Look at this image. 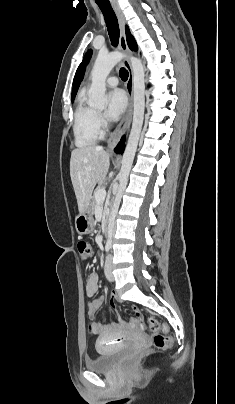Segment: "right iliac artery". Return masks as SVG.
Wrapping results in <instances>:
<instances>
[{"instance_id": "82829eb1", "label": "right iliac artery", "mask_w": 235, "mask_h": 404, "mask_svg": "<svg viewBox=\"0 0 235 404\" xmlns=\"http://www.w3.org/2000/svg\"><path fill=\"white\" fill-rule=\"evenodd\" d=\"M105 250H106V252H108V251H109V247H106V249H105Z\"/></svg>"}]
</instances>
